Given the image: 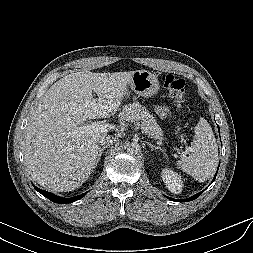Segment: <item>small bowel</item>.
<instances>
[{"instance_id": "small-bowel-1", "label": "small bowel", "mask_w": 253, "mask_h": 253, "mask_svg": "<svg viewBox=\"0 0 253 253\" xmlns=\"http://www.w3.org/2000/svg\"><path fill=\"white\" fill-rule=\"evenodd\" d=\"M161 114L165 115L166 114V109H161Z\"/></svg>"}]
</instances>
